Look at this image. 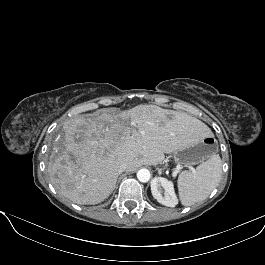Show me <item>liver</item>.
<instances>
[{"label":"liver","mask_w":265,"mask_h":265,"mask_svg":"<svg viewBox=\"0 0 265 265\" xmlns=\"http://www.w3.org/2000/svg\"><path fill=\"white\" fill-rule=\"evenodd\" d=\"M209 132L200 120L156 105L77 116L64 121L47 171L60 194L80 205H94L113 192L121 163L128 164V171L157 165L164 154Z\"/></svg>","instance_id":"liver-1"}]
</instances>
